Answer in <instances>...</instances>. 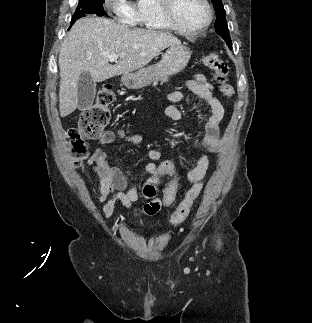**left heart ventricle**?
I'll use <instances>...</instances> for the list:
<instances>
[{
  "instance_id": "obj_1",
  "label": "left heart ventricle",
  "mask_w": 312,
  "mask_h": 323,
  "mask_svg": "<svg viewBox=\"0 0 312 323\" xmlns=\"http://www.w3.org/2000/svg\"><path fill=\"white\" fill-rule=\"evenodd\" d=\"M170 14L185 22H194L195 18H206L209 7H203L201 0H171Z\"/></svg>"
}]
</instances>
